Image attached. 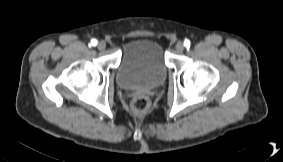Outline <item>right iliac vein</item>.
I'll use <instances>...</instances> for the list:
<instances>
[{
  "label": "right iliac vein",
  "instance_id": "1",
  "mask_svg": "<svg viewBox=\"0 0 283 162\" xmlns=\"http://www.w3.org/2000/svg\"><path fill=\"white\" fill-rule=\"evenodd\" d=\"M97 47L99 50H104L106 48V43L104 41H100Z\"/></svg>",
  "mask_w": 283,
  "mask_h": 162
}]
</instances>
